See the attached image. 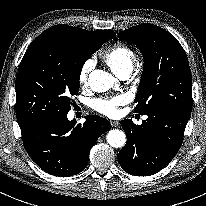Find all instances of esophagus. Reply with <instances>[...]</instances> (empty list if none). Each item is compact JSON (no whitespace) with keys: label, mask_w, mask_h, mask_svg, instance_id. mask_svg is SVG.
I'll return each instance as SVG.
<instances>
[{"label":"esophagus","mask_w":206,"mask_h":206,"mask_svg":"<svg viewBox=\"0 0 206 206\" xmlns=\"http://www.w3.org/2000/svg\"><path fill=\"white\" fill-rule=\"evenodd\" d=\"M111 125L113 126V127H118L119 126V122L118 121H111Z\"/></svg>","instance_id":"obj_1"}]
</instances>
